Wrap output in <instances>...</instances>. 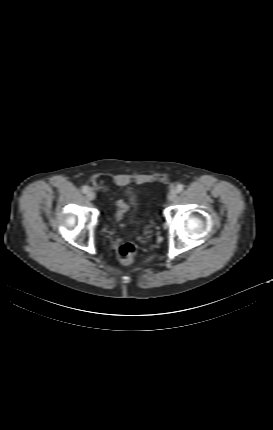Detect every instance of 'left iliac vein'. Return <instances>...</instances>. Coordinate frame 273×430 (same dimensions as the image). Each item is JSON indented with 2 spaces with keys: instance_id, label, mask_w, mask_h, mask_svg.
<instances>
[{
  "instance_id": "4c4485c4",
  "label": "left iliac vein",
  "mask_w": 273,
  "mask_h": 430,
  "mask_svg": "<svg viewBox=\"0 0 273 430\" xmlns=\"http://www.w3.org/2000/svg\"><path fill=\"white\" fill-rule=\"evenodd\" d=\"M176 195H177L176 190L174 189L171 190L170 193L168 194L169 201H174L176 199Z\"/></svg>"
}]
</instances>
